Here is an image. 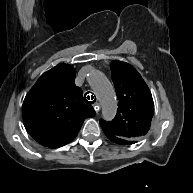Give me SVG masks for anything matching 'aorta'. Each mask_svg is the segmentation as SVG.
Returning <instances> with one entry per match:
<instances>
[{"label": "aorta", "instance_id": "1", "mask_svg": "<svg viewBox=\"0 0 193 193\" xmlns=\"http://www.w3.org/2000/svg\"><path fill=\"white\" fill-rule=\"evenodd\" d=\"M88 82L102 105L103 118L113 119L117 111V98L111 82L100 71H93Z\"/></svg>", "mask_w": 193, "mask_h": 193}]
</instances>
